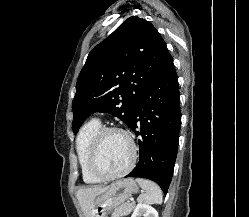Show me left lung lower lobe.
Segmentation results:
<instances>
[{
  "label": "left lung lower lobe",
  "instance_id": "0a47b994",
  "mask_svg": "<svg viewBox=\"0 0 249 217\" xmlns=\"http://www.w3.org/2000/svg\"><path fill=\"white\" fill-rule=\"evenodd\" d=\"M129 127L139 136L140 157L126 177L150 179L167 194L181 127L178 78L171 55L139 99Z\"/></svg>",
  "mask_w": 249,
  "mask_h": 217
}]
</instances>
